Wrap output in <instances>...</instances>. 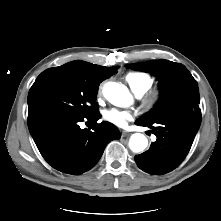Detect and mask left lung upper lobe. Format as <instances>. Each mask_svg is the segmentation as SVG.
<instances>
[{
	"label": "left lung upper lobe",
	"instance_id": "1",
	"mask_svg": "<svg viewBox=\"0 0 221 221\" xmlns=\"http://www.w3.org/2000/svg\"><path fill=\"white\" fill-rule=\"evenodd\" d=\"M127 68L149 72L159 80L160 99L140 121L154 122L175 115H201L197 82L184 65L161 59L129 64Z\"/></svg>",
	"mask_w": 221,
	"mask_h": 221
}]
</instances>
